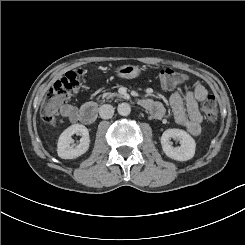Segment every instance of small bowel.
<instances>
[{
    "label": "small bowel",
    "mask_w": 245,
    "mask_h": 245,
    "mask_svg": "<svg viewBox=\"0 0 245 245\" xmlns=\"http://www.w3.org/2000/svg\"><path fill=\"white\" fill-rule=\"evenodd\" d=\"M206 96V88L200 82H196L192 90L183 93L182 89H178L170 97L175 121L193 136L201 132L202 116L198 109V102L204 100ZM141 103L156 118L162 117L165 112L163 105L157 101L143 99ZM60 113L70 122L74 123L79 120L78 109L70 104H63Z\"/></svg>",
    "instance_id": "c3829d8e"
}]
</instances>
